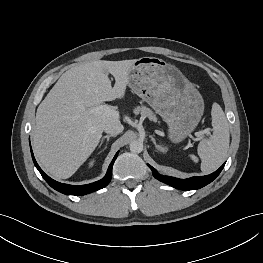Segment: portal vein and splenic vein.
<instances>
[{
	"label": "portal vein and splenic vein",
	"mask_w": 263,
	"mask_h": 263,
	"mask_svg": "<svg viewBox=\"0 0 263 263\" xmlns=\"http://www.w3.org/2000/svg\"><path fill=\"white\" fill-rule=\"evenodd\" d=\"M91 112L94 113V114H100V115H104V116L111 117V118H114V119H118L119 118L118 111H116L114 108H112L108 104L95 106V107H93L91 109ZM205 134L206 135L210 134L209 129H205L203 131L195 132V136H197L200 139L204 138Z\"/></svg>",
	"instance_id": "1"
}]
</instances>
